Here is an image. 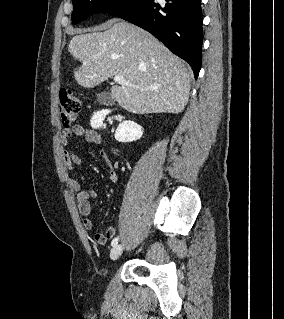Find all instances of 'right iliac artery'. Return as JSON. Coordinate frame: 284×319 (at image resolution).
<instances>
[{"label": "right iliac artery", "mask_w": 284, "mask_h": 319, "mask_svg": "<svg viewBox=\"0 0 284 319\" xmlns=\"http://www.w3.org/2000/svg\"><path fill=\"white\" fill-rule=\"evenodd\" d=\"M118 237H116V238H114L113 240H112V242H111V245L114 247V246H116L117 244H118Z\"/></svg>", "instance_id": "1"}]
</instances>
